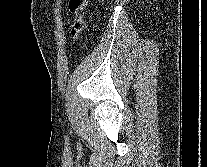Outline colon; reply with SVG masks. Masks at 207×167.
<instances>
[{
  "label": "colon",
  "instance_id": "1",
  "mask_svg": "<svg viewBox=\"0 0 207 167\" xmlns=\"http://www.w3.org/2000/svg\"><path fill=\"white\" fill-rule=\"evenodd\" d=\"M88 0H69L68 9L73 15L70 25V35L74 42H77L84 29V10Z\"/></svg>",
  "mask_w": 207,
  "mask_h": 167
}]
</instances>
